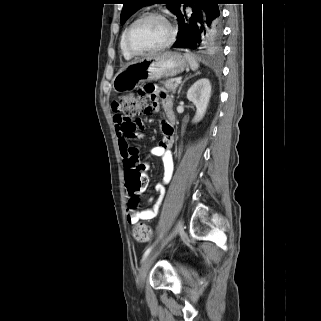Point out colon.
<instances>
[{
  "mask_svg": "<svg viewBox=\"0 0 321 321\" xmlns=\"http://www.w3.org/2000/svg\"><path fill=\"white\" fill-rule=\"evenodd\" d=\"M117 105L118 112L126 119L151 111L147 98L133 94L120 97ZM146 168V164L141 162L139 158H132L126 164L125 184L130 196V205L133 207L138 203L141 193L147 186L148 180L144 173ZM152 234V229L144 223H138L132 229L134 239L140 243L150 241Z\"/></svg>",
  "mask_w": 321,
  "mask_h": 321,
  "instance_id": "colon-1",
  "label": "colon"
}]
</instances>
